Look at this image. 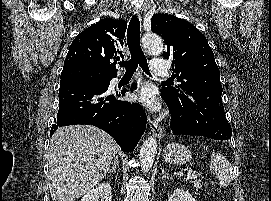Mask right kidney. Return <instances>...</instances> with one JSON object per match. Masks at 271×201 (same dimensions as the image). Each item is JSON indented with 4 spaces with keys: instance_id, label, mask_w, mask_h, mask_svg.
<instances>
[{
    "instance_id": "right-kidney-1",
    "label": "right kidney",
    "mask_w": 271,
    "mask_h": 201,
    "mask_svg": "<svg viewBox=\"0 0 271 201\" xmlns=\"http://www.w3.org/2000/svg\"><path fill=\"white\" fill-rule=\"evenodd\" d=\"M112 201L111 186L105 182L100 184L97 188L87 192L81 199V201Z\"/></svg>"
}]
</instances>
